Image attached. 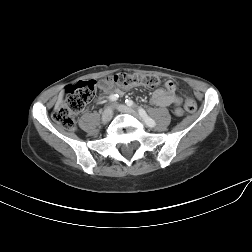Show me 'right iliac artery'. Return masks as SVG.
<instances>
[{
	"label": "right iliac artery",
	"instance_id": "right-iliac-artery-1",
	"mask_svg": "<svg viewBox=\"0 0 252 252\" xmlns=\"http://www.w3.org/2000/svg\"><path fill=\"white\" fill-rule=\"evenodd\" d=\"M118 95L116 94V95H111L110 97H109V100L110 101H116V100H118Z\"/></svg>",
	"mask_w": 252,
	"mask_h": 252
}]
</instances>
